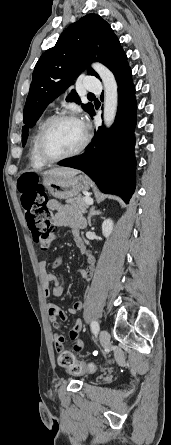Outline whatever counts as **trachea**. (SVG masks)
I'll return each instance as SVG.
<instances>
[{
  "label": "trachea",
  "mask_w": 171,
  "mask_h": 445,
  "mask_svg": "<svg viewBox=\"0 0 171 445\" xmlns=\"http://www.w3.org/2000/svg\"><path fill=\"white\" fill-rule=\"evenodd\" d=\"M88 97H95V95L92 94V93H89V94H88Z\"/></svg>",
  "instance_id": "obj_1"
}]
</instances>
